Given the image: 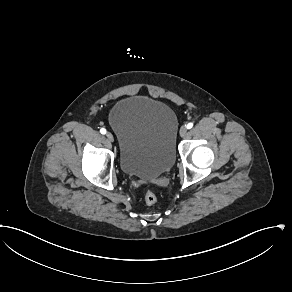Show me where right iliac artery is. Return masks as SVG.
<instances>
[{"label":"right iliac artery","instance_id":"82829eb1","mask_svg":"<svg viewBox=\"0 0 292 292\" xmlns=\"http://www.w3.org/2000/svg\"><path fill=\"white\" fill-rule=\"evenodd\" d=\"M100 133H101V134H106V129H105V128H101V129H100Z\"/></svg>","mask_w":292,"mask_h":292}]
</instances>
